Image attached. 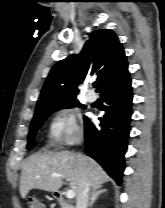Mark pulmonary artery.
<instances>
[{"label": "pulmonary artery", "instance_id": "1", "mask_svg": "<svg viewBox=\"0 0 165 208\" xmlns=\"http://www.w3.org/2000/svg\"><path fill=\"white\" fill-rule=\"evenodd\" d=\"M86 100L90 103H93L97 100V96L94 93H88L86 96Z\"/></svg>", "mask_w": 165, "mask_h": 208}]
</instances>
